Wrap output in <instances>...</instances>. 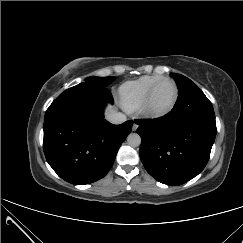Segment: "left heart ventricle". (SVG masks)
I'll return each instance as SVG.
<instances>
[{
    "label": "left heart ventricle",
    "instance_id": "b2bd125f",
    "mask_svg": "<svg viewBox=\"0 0 243 243\" xmlns=\"http://www.w3.org/2000/svg\"><path fill=\"white\" fill-rule=\"evenodd\" d=\"M175 87L171 82H165L158 87L152 98L151 106L154 110H163L173 101Z\"/></svg>",
    "mask_w": 243,
    "mask_h": 243
}]
</instances>
